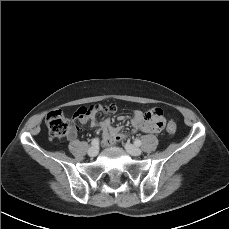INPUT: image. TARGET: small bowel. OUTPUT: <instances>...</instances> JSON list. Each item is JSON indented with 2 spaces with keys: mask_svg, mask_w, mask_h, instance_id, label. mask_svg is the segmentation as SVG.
<instances>
[{
  "mask_svg": "<svg viewBox=\"0 0 229 229\" xmlns=\"http://www.w3.org/2000/svg\"><path fill=\"white\" fill-rule=\"evenodd\" d=\"M74 118L79 120L82 124L89 125L91 127H100L103 140L107 144L121 142L125 139V135L122 133V128L120 126H114L110 119L98 120L94 114L80 115L78 111L74 114ZM126 119H128L127 116H118L119 121H124ZM130 122L135 130L151 132V129L144 123V112L142 110H134L133 115L130 118ZM74 136L75 131L70 132L69 137L73 138Z\"/></svg>",
  "mask_w": 229,
  "mask_h": 229,
  "instance_id": "1",
  "label": "small bowel"
}]
</instances>
